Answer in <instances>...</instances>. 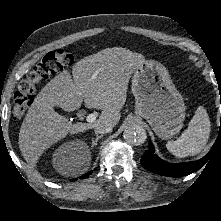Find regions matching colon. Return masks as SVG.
I'll return each instance as SVG.
<instances>
[{"instance_id": "1", "label": "colon", "mask_w": 221, "mask_h": 221, "mask_svg": "<svg viewBox=\"0 0 221 221\" xmlns=\"http://www.w3.org/2000/svg\"><path fill=\"white\" fill-rule=\"evenodd\" d=\"M73 56L59 49L47 53L19 83L13 95V117L21 119L34 101V94L39 83L72 65Z\"/></svg>"}]
</instances>
